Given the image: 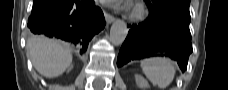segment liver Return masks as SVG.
<instances>
[{
  "label": "liver",
  "mask_w": 228,
  "mask_h": 90,
  "mask_svg": "<svg viewBox=\"0 0 228 90\" xmlns=\"http://www.w3.org/2000/svg\"><path fill=\"white\" fill-rule=\"evenodd\" d=\"M27 47L33 66L45 77L60 76L72 64L70 49L57 40L33 36Z\"/></svg>",
  "instance_id": "obj_1"
}]
</instances>
